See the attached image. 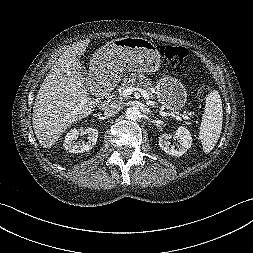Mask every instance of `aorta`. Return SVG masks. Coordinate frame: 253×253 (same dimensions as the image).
<instances>
[{"mask_svg":"<svg viewBox=\"0 0 253 253\" xmlns=\"http://www.w3.org/2000/svg\"><path fill=\"white\" fill-rule=\"evenodd\" d=\"M125 115L128 120L135 121L138 118H140V111L137 107H130V108H127Z\"/></svg>","mask_w":253,"mask_h":253,"instance_id":"1","label":"aorta"}]
</instances>
